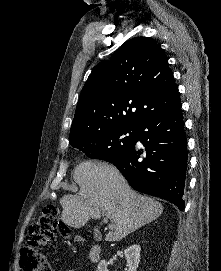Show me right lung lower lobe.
Here are the masks:
<instances>
[{"label":"right lung lower lobe","mask_w":221,"mask_h":271,"mask_svg":"<svg viewBox=\"0 0 221 271\" xmlns=\"http://www.w3.org/2000/svg\"><path fill=\"white\" fill-rule=\"evenodd\" d=\"M137 141L145 151L135 148ZM135 144L113 164L133 189L164 198L184 210L188 155L181 104L141 122Z\"/></svg>","instance_id":"98d812e1"}]
</instances>
